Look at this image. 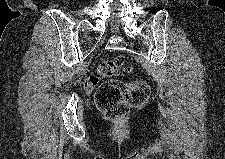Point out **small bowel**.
<instances>
[{
  "mask_svg": "<svg viewBox=\"0 0 225 159\" xmlns=\"http://www.w3.org/2000/svg\"><path fill=\"white\" fill-rule=\"evenodd\" d=\"M97 82H98V80H95L94 77H90V78L86 79L84 81L85 90L88 92H91L95 88Z\"/></svg>",
  "mask_w": 225,
  "mask_h": 159,
  "instance_id": "small-bowel-1",
  "label": "small bowel"
}]
</instances>
